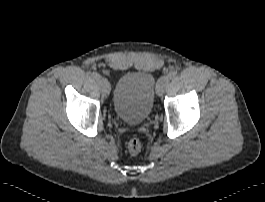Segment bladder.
I'll return each instance as SVG.
<instances>
[{
    "mask_svg": "<svg viewBox=\"0 0 265 202\" xmlns=\"http://www.w3.org/2000/svg\"><path fill=\"white\" fill-rule=\"evenodd\" d=\"M158 81L148 72L126 73L118 80L113 108L118 118L128 124H140L150 115Z\"/></svg>",
    "mask_w": 265,
    "mask_h": 202,
    "instance_id": "bladder-1",
    "label": "bladder"
}]
</instances>
